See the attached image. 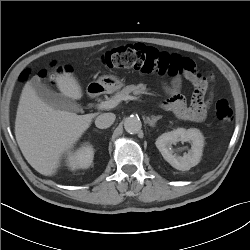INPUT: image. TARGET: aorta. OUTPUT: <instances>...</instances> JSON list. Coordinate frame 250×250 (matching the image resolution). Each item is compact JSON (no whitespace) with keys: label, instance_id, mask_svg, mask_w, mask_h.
Here are the masks:
<instances>
[{"label":"aorta","instance_id":"aorta-1","mask_svg":"<svg viewBox=\"0 0 250 250\" xmlns=\"http://www.w3.org/2000/svg\"><path fill=\"white\" fill-rule=\"evenodd\" d=\"M142 123L136 116L127 117L124 120V128L130 134H136L141 130Z\"/></svg>","mask_w":250,"mask_h":250}]
</instances>
